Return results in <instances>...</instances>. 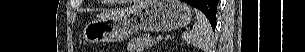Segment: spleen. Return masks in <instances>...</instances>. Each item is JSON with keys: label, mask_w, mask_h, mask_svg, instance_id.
I'll list each match as a JSON object with an SVG mask.
<instances>
[{"label": "spleen", "mask_w": 305, "mask_h": 52, "mask_svg": "<svg viewBox=\"0 0 305 52\" xmlns=\"http://www.w3.org/2000/svg\"><path fill=\"white\" fill-rule=\"evenodd\" d=\"M195 13L197 21L191 31L183 33L182 39L195 47L203 49L205 52H209L213 39L211 24L201 11L195 9Z\"/></svg>", "instance_id": "3e777b00"}]
</instances>
